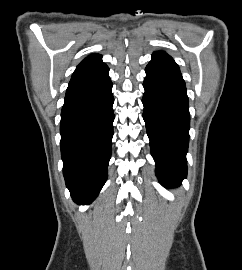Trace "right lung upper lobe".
I'll return each mask as SVG.
<instances>
[{"instance_id":"1","label":"right lung upper lobe","mask_w":242,"mask_h":270,"mask_svg":"<svg viewBox=\"0 0 242 270\" xmlns=\"http://www.w3.org/2000/svg\"><path fill=\"white\" fill-rule=\"evenodd\" d=\"M102 56L99 54H92L85 58L76 68L73 75L78 74L86 69H89L95 66L97 63L101 61Z\"/></svg>"}]
</instances>
